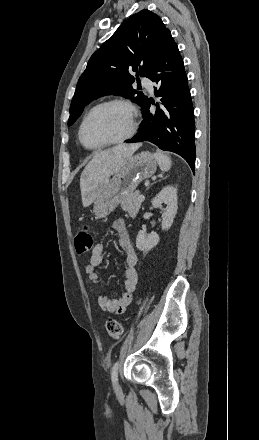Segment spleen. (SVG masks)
<instances>
[{
    "label": "spleen",
    "instance_id": "obj_1",
    "mask_svg": "<svg viewBox=\"0 0 259 440\" xmlns=\"http://www.w3.org/2000/svg\"><path fill=\"white\" fill-rule=\"evenodd\" d=\"M154 156L159 164L162 171H168L171 167V159L161 151L154 153Z\"/></svg>",
    "mask_w": 259,
    "mask_h": 440
}]
</instances>
